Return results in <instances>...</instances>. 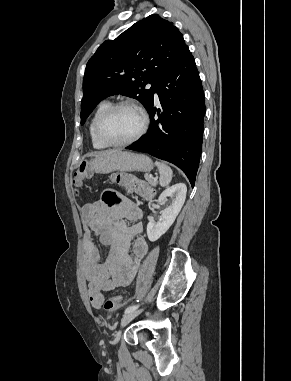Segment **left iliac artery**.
I'll list each match as a JSON object with an SVG mask.
<instances>
[{
  "instance_id": "left-iliac-artery-1",
  "label": "left iliac artery",
  "mask_w": 291,
  "mask_h": 381,
  "mask_svg": "<svg viewBox=\"0 0 291 381\" xmlns=\"http://www.w3.org/2000/svg\"><path fill=\"white\" fill-rule=\"evenodd\" d=\"M138 307H139L138 304L129 306V307L125 310V314H126V313H129V312H132V311H134V310H136Z\"/></svg>"
}]
</instances>
